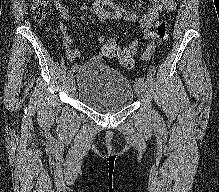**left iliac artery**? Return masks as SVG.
I'll use <instances>...</instances> for the list:
<instances>
[{
	"instance_id": "1",
	"label": "left iliac artery",
	"mask_w": 219,
	"mask_h": 192,
	"mask_svg": "<svg viewBox=\"0 0 219 192\" xmlns=\"http://www.w3.org/2000/svg\"><path fill=\"white\" fill-rule=\"evenodd\" d=\"M147 81H149L150 83H153L154 82V78H153V75L151 73H149L147 75Z\"/></svg>"
}]
</instances>
